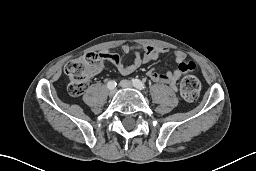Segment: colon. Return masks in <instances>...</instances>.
Wrapping results in <instances>:
<instances>
[{
    "label": "colon",
    "instance_id": "obj_1",
    "mask_svg": "<svg viewBox=\"0 0 256 171\" xmlns=\"http://www.w3.org/2000/svg\"><path fill=\"white\" fill-rule=\"evenodd\" d=\"M102 65L99 54L90 52L70 61L66 64L64 72L68 81V92L72 96L81 95L88 82L89 76L98 70ZM195 69L193 62H187L182 66V70L187 74L181 81V96L188 102L197 100L201 84L199 80L189 73Z\"/></svg>",
    "mask_w": 256,
    "mask_h": 171
}]
</instances>
